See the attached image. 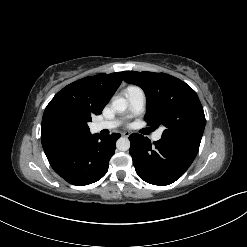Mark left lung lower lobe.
Masks as SVG:
<instances>
[{
	"instance_id": "left-lung-lower-lobe-1",
	"label": "left lung lower lobe",
	"mask_w": 247,
	"mask_h": 247,
	"mask_svg": "<svg viewBox=\"0 0 247 247\" xmlns=\"http://www.w3.org/2000/svg\"><path fill=\"white\" fill-rule=\"evenodd\" d=\"M130 155L138 176L153 185H169L192 164L197 152L165 138L151 143L147 137L131 134Z\"/></svg>"
}]
</instances>
